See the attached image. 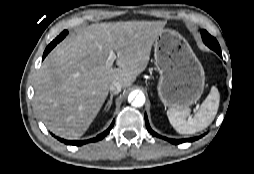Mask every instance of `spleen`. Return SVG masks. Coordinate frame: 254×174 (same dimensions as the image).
Instances as JSON below:
<instances>
[{"mask_svg":"<svg viewBox=\"0 0 254 174\" xmlns=\"http://www.w3.org/2000/svg\"><path fill=\"white\" fill-rule=\"evenodd\" d=\"M220 101L218 89L213 86L207 98L200 106L194 117H188L189 109L167 111L170 124L180 134H194L207 128L214 120Z\"/></svg>","mask_w":254,"mask_h":174,"instance_id":"obj_1","label":"spleen"}]
</instances>
